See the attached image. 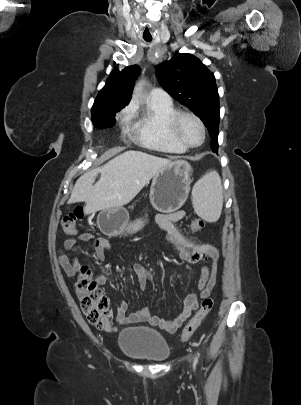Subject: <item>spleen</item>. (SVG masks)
Listing matches in <instances>:
<instances>
[{
    "label": "spleen",
    "instance_id": "1",
    "mask_svg": "<svg viewBox=\"0 0 301 405\" xmlns=\"http://www.w3.org/2000/svg\"><path fill=\"white\" fill-rule=\"evenodd\" d=\"M197 214L209 222L219 219L223 206L221 179L217 172L202 177L192 191Z\"/></svg>",
    "mask_w": 301,
    "mask_h": 405
}]
</instances>
